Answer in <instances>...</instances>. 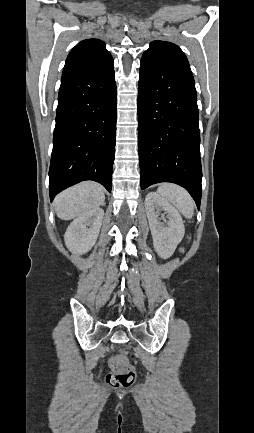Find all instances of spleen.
Segmentation results:
<instances>
[{"mask_svg": "<svg viewBox=\"0 0 254 433\" xmlns=\"http://www.w3.org/2000/svg\"><path fill=\"white\" fill-rule=\"evenodd\" d=\"M157 192L165 200L173 204L185 218H192L194 201L185 189L175 184L164 183L159 186Z\"/></svg>", "mask_w": 254, "mask_h": 433, "instance_id": "3e777b00", "label": "spleen"}]
</instances>
